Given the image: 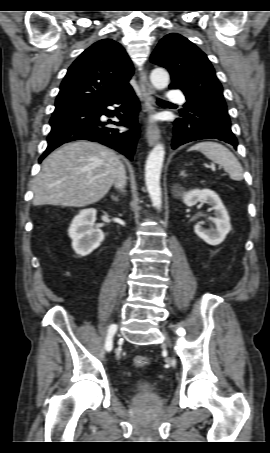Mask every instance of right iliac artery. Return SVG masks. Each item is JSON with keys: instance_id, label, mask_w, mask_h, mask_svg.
<instances>
[{"instance_id": "right-iliac-artery-1", "label": "right iliac artery", "mask_w": 270, "mask_h": 453, "mask_svg": "<svg viewBox=\"0 0 270 453\" xmlns=\"http://www.w3.org/2000/svg\"><path fill=\"white\" fill-rule=\"evenodd\" d=\"M117 330V326L115 324H112L109 329H108V335L106 339V349L107 351H111L112 349V338Z\"/></svg>"}]
</instances>
